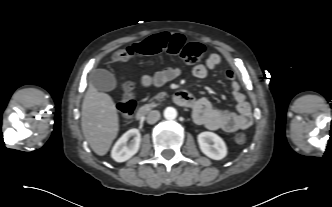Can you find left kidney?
<instances>
[{
	"instance_id": "left-kidney-1",
	"label": "left kidney",
	"mask_w": 332,
	"mask_h": 207,
	"mask_svg": "<svg viewBox=\"0 0 332 207\" xmlns=\"http://www.w3.org/2000/svg\"><path fill=\"white\" fill-rule=\"evenodd\" d=\"M197 140L200 150L209 158L221 160L226 157V144L217 134L208 131L202 132L198 135Z\"/></svg>"
}]
</instances>
